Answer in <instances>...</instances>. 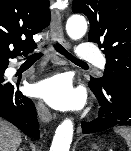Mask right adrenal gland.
I'll return each instance as SVG.
<instances>
[{
	"label": "right adrenal gland",
	"instance_id": "obj_1",
	"mask_svg": "<svg viewBox=\"0 0 131 151\" xmlns=\"http://www.w3.org/2000/svg\"><path fill=\"white\" fill-rule=\"evenodd\" d=\"M18 151H23V149L22 148H19V150Z\"/></svg>",
	"mask_w": 131,
	"mask_h": 151
}]
</instances>
